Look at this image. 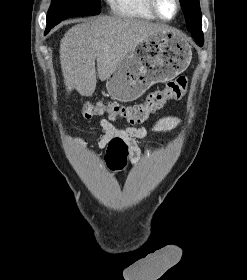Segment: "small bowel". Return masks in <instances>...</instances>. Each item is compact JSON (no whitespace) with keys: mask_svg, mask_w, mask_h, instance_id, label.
<instances>
[{"mask_svg":"<svg viewBox=\"0 0 247 280\" xmlns=\"http://www.w3.org/2000/svg\"><path fill=\"white\" fill-rule=\"evenodd\" d=\"M179 124V119L173 116H167L160 119L155 126L153 131L155 132H168L177 127ZM100 126L104 131L103 136L95 141L98 148L103 149L108 147V145L114 139H119L125 143L128 148V157L132 164H136L139 161L141 150L138 147L136 140L145 138L148 131L145 127H133L128 126L125 128H119L112 124L110 120L102 119ZM72 144L76 148H83L85 142L81 137L75 136L71 139Z\"/></svg>","mask_w":247,"mask_h":280,"instance_id":"small-bowel-1","label":"small bowel"}]
</instances>
